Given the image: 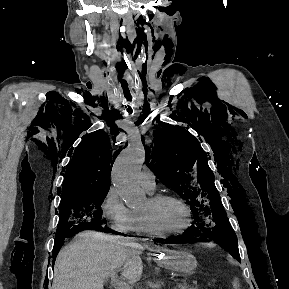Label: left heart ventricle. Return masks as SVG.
Masks as SVG:
<instances>
[{
  "label": "left heart ventricle",
  "mask_w": 289,
  "mask_h": 289,
  "mask_svg": "<svg viewBox=\"0 0 289 289\" xmlns=\"http://www.w3.org/2000/svg\"><path fill=\"white\" fill-rule=\"evenodd\" d=\"M139 211L146 213L155 227L162 231H177L187 223L186 211L175 201L167 200L152 204L148 198Z\"/></svg>",
  "instance_id": "b2bd125f"
}]
</instances>
